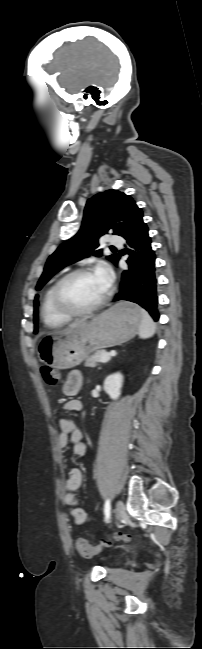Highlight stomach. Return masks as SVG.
I'll return each mask as SVG.
<instances>
[{"label":"stomach","instance_id":"1","mask_svg":"<svg viewBox=\"0 0 202 649\" xmlns=\"http://www.w3.org/2000/svg\"><path fill=\"white\" fill-rule=\"evenodd\" d=\"M141 321L139 307L131 303H117L80 326L43 337L37 346L38 358L58 370L73 368L92 351L113 347L134 337Z\"/></svg>","mask_w":202,"mask_h":649}]
</instances>
